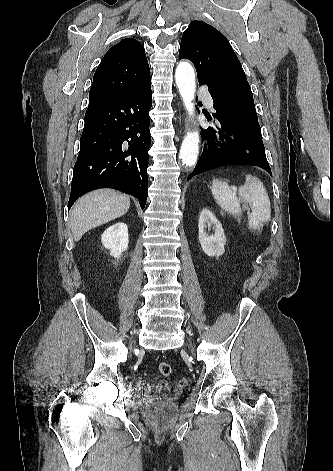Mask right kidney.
<instances>
[{
    "mask_svg": "<svg viewBox=\"0 0 333 471\" xmlns=\"http://www.w3.org/2000/svg\"><path fill=\"white\" fill-rule=\"evenodd\" d=\"M101 242L105 248L110 249V254L120 258L122 252L128 248V227L123 222H118L107 228L101 236Z\"/></svg>",
    "mask_w": 333,
    "mask_h": 471,
    "instance_id": "right-kidney-1",
    "label": "right kidney"
}]
</instances>
